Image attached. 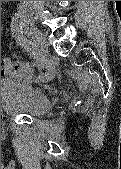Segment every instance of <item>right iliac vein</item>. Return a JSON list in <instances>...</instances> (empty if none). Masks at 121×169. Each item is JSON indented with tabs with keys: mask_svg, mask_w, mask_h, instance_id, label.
<instances>
[{
	"mask_svg": "<svg viewBox=\"0 0 121 169\" xmlns=\"http://www.w3.org/2000/svg\"><path fill=\"white\" fill-rule=\"evenodd\" d=\"M22 26L26 31H28L31 34L35 44L40 48V50L43 53H47L48 52V44H47V41L45 39V36L38 29V27L34 24L32 19H30L28 17H23L22 18ZM52 76H53V74L50 71L49 72V78H47V80L52 78Z\"/></svg>",
	"mask_w": 121,
	"mask_h": 169,
	"instance_id": "1",
	"label": "right iliac vein"
}]
</instances>
